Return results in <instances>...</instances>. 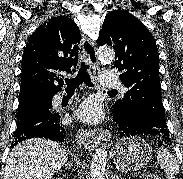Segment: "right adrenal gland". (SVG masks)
I'll use <instances>...</instances> for the list:
<instances>
[{"label":"right adrenal gland","instance_id":"1","mask_svg":"<svg viewBox=\"0 0 183 179\" xmlns=\"http://www.w3.org/2000/svg\"><path fill=\"white\" fill-rule=\"evenodd\" d=\"M71 166H72L71 162H67V163L65 164V167H66V168H71Z\"/></svg>","mask_w":183,"mask_h":179}]
</instances>
